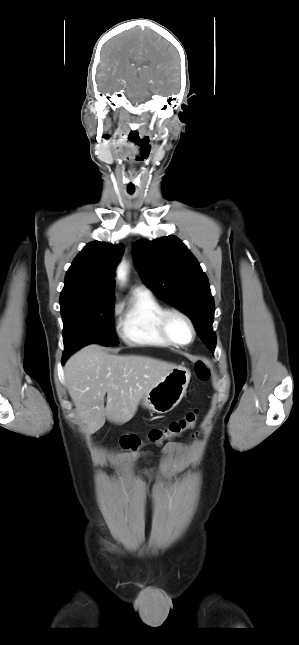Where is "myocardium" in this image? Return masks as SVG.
<instances>
[{
    "mask_svg": "<svg viewBox=\"0 0 299 645\" xmlns=\"http://www.w3.org/2000/svg\"><path fill=\"white\" fill-rule=\"evenodd\" d=\"M175 316L180 317L188 324L191 331V337L189 341L179 342L170 333L169 322H170V319ZM159 331L163 336V338L166 339L171 345L179 346V347L190 345L196 338V328L192 319L185 312L177 308H168L162 312L159 318Z\"/></svg>",
    "mask_w": 299,
    "mask_h": 645,
    "instance_id": "myocardium-1",
    "label": "myocardium"
}]
</instances>
